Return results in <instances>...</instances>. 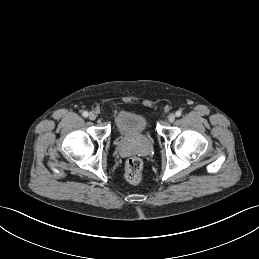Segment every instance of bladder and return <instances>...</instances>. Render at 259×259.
<instances>
[{
  "label": "bladder",
  "mask_w": 259,
  "mask_h": 259,
  "mask_svg": "<svg viewBox=\"0 0 259 259\" xmlns=\"http://www.w3.org/2000/svg\"><path fill=\"white\" fill-rule=\"evenodd\" d=\"M115 126L122 134H133L147 131L150 127L146 116L134 112H121L115 118Z\"/></svg>",
  "instance_id": "obj_1"
}]
</instances>
